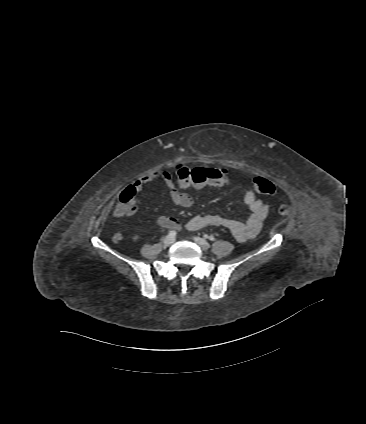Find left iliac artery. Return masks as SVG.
I'll return each mask as SVG.
<instances>
[{
    "label": "left iliac artery",
    "mask_w": 366,
    "mask_h": 424,
    "mask_svg": "<svg viewBox=\"0 0 366 424\" xmlns=\"http://www.w3.org/2000/svg\"><path fill=\"white\" fill-rule=\"evenodd\" d=\"M205 237L208 238L211 241H214L215 240L214 236H207V235H205Z\"/></svg>",
    "instance_id": "1"
}]
</instances>
